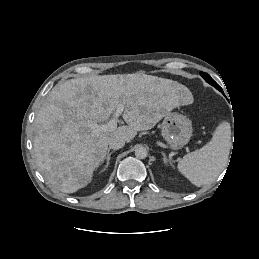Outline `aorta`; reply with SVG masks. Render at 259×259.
<instances>
[{"label":"aorta","mask_w":259,"mask_h":259,"mask_svg":"<svg viewBox=\"0 0 259 259\" xmlns=\"http://www.w3.org/2000/svg\"><path fill=\"white\" fill-rule=\"evenodd\" d=\"M135 156L139 159H145L147 157V150L144 147H139L135 150Z\"/></svg>","instance_id":"762f6f07"}]
</instances>
